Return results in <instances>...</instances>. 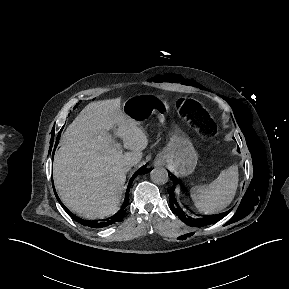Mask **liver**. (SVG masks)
<instances>
[{
	"label": "liver",
	"instance_id": "6515ba94",
	"mask_svg": "<svg viewBox=\"0 0 289 289\" xmlns=\"http://www.w3.org/2000/svg\"><path fill=\"white\" fill-rule=\"evenodd\" d=\"M115 130L128 152L112 144ZM148 139L121 109L119 98L91 102L67 127L53 162L56 191L63 204L87 219L114 214L126 181L125 165L142 158Z\"/></svg>",
	"mask_w": 289,
	"mask_h": 289
}]
</instances>
